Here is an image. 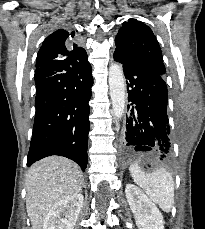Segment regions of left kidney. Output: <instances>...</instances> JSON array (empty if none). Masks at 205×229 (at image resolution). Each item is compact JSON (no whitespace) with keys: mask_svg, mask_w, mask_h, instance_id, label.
Listing matches in <instances>:
<instances>
[{"mask_svg":"<svg viewBox=\"0 0 205 229\" xmlns=\"http://www.w3.org/2000/svg\"><path fill=\"white\" fill-rule=\"evenodd\" d=\"M125 194L138 229H164L157 206L134 184H127Z\"/></svg>","mask_w":205,"mask_h":229,"instance_id":"5707ae66","label":"left kidney"}]
</instances>
